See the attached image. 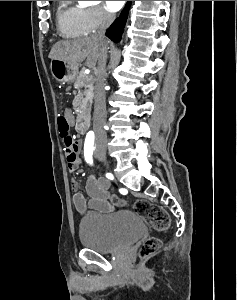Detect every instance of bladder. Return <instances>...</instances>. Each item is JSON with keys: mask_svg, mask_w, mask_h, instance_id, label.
Segmentation results:
<instances>
[{"mask_svg": "<svg viewBox=\"0 0 237 300\" xmlns=\"http://www.w3.org/2000/svg\"><path fill=\"white\" fill-rule=\"evenodd\" d=\"M145 231L143 220L137 213L120 210L109 215L84 218L78 235L85 248L108 254L128 248Z\"/></svg>", "mask_w": 237, "mask_h": 300, "instance_id": "bladder-1", "label": "bladder"}]
</instances>
